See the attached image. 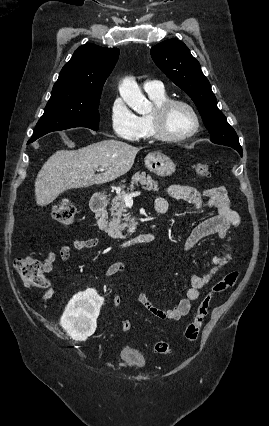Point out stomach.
Listing matches in <instances>:
<instances>
[{"instance_id":"obj_1","label":"stomach","mask_w":269,"mask_h":426,"mask_svg":"<svg viewBox=\"0 0 269 426\" xmlns=\"http://www.w3.org/2000/svg\"><path fill=\"white\" fill-rule=\"evenodd\" d=\"M147 169L158 176H170L175 172L174 162L166 155L161 153H150L145 158Z\"/></svg>"}]
</instances>
